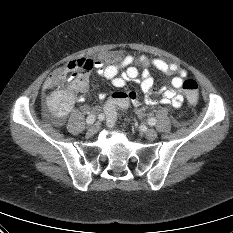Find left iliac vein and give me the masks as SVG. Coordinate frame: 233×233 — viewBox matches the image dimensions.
I'll return each mask as SVG.
<instances>
[{"label": "left iliac vein", "mask_w": 233, "mask_h": 233, "mask_svg": "<svg viewBox=\"0 0 233 233\" xmlns=\"http://www.w3.org/2000/svg\"><path fill=\"white\" fill-rule=\"evenodd\" d=\"M144 134L149 140H155L157 138V132L154 129H145Z\"/></svg>", "instance_id": "1"}]
</instances>
